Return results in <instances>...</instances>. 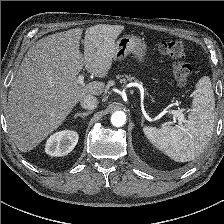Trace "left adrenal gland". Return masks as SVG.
<instances>
[{"label":"left adrenal gland","instance_id":"left-adrenal-gland-1","mask_svg":"<svg viewBox=\"0 0 224 224\" xmlns=\"http://www.w3.org/2000/svg\"><path fill=\"white\" fill-rule=\"evenodd\" d=\"M144 124V118L142 117L141 126Z\"/></svg>","mask_w":224,"mask_h":224}]
</instances>
